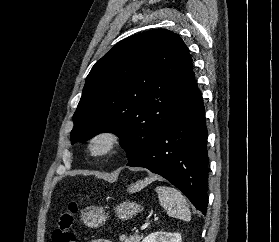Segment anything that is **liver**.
Returning <instances> with one entry per match:
<instances>
[{"instance_id": "6515ba94", "label": "liver", "mask_w": 279, "mask_h": 242, "mask_svg": "<svg viewBox=\"0 0 279 242\" xmlns=\"http://www.w3.org/2000/svg\"><path fill=\"white\" fill-rule=\"evenodd\" d=\"M151 181H152V179H145L144 181L137 182L134 186H132L130 188V192H134V191L142 189L143 187L148 185Z\"/></svg>"}]
</instances>
